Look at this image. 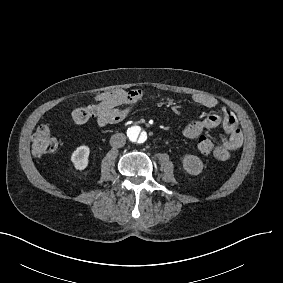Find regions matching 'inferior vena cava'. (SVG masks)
I'll list each match as a JSON object with an SVG mask.
<instances>
[{"label": "inferior vena cava", "mask_w": 283, "mask_h": 283, "mask_svg": "<svg viewBox=\"0 0 283 283\" xmlns=\"http://www.w3.org/2000/svg\"><path fill=\"white\" fill-rule=\"evenodd\" d=\"M126 143V136L123 133H116L110 138V145L115 148H121Z\"/></svg>", "instance_id": "obj_1"}]
</instances>
